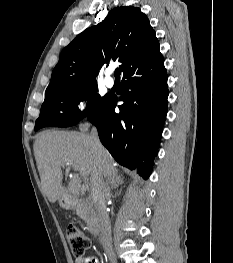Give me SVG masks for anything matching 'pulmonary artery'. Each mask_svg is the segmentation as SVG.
<instances>
[{
	"label": "pulmonary artery",
	"mask_w": 233,
	"mask_h": 263,
	"mask_svg": "<svg viewBox=\"0 0 233 263\" xmlns=\"http://www.w3.org/2000/svg\"><path fill=\"white\" fill-rule=\"evenodd\" d=\"M110 74H111V71H108L107 76H106V78H105V80H104L105 85H106L108 88H112V87L114 86V80H113V78L110 76Z\"/></svg>",
	"instance_id": "1"
}]
</instances>
